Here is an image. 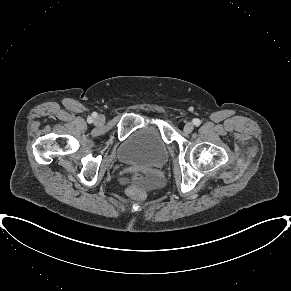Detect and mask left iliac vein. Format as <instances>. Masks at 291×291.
Masks as SVG:
<instances>
[{"instance_id":"obj_1","label":"left iliac vein","mask_w":291,"mask_h":291,"mask_svg":"<svg viewBox=\"0 0 291 291\" xmlns=\"http://www.w3.org/2000/svg\"><path fill=\"white\" fill-rule=\"evenodd\" d=\"M194 129V125L190 122L186 123L184 126V132L185 133H191Z\"/></svg>"}]
</instances>
